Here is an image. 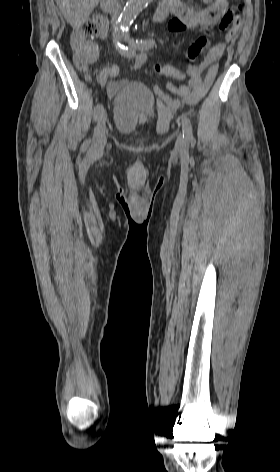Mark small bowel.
I'll use <instances>...</instances> for the list:
<instances>
[{
	"mask_svg": "<svg viewBox=\"0 0 280 472\" xmlns=\"http://www.w3.org/2000/svg\"><path fill=\"white\" fill-rule=\"evenodd\" d=\"M209 5L203 9H193L183 3L181 0H163L162 4L166 6L173 19L169 22V30L175 33L194 29H208L215 26L222 18L228 8L227 0H205ZM107 23L100 22V36H107ZM239 26L232 27L225 36V42L215 44L208 52L206 57L198 64H191L186 68L185 75L188 76V83L181 86H175L167 83V89L177 95L179 98L171 97L162 91L159 87H154V92L158 98L157 107L161 122L166 125L173 118L174 114L181 106H192L197 104L208 92L218 72L217 62L222 57L226 42L232 41L238 34ZM71 43L74 50V56L80 57L86 64L85 78L90 81L93 72L89 66L93 64L99 55L98 46L95 41L87 39L83 34L76 31L71 37ZM147 61L145 54L134 55L132 69L141 68ZM110 75L116 77L118 70L114 65H107ZM125 80L111 81L106 87V93L112 97L124 84Z\"/></svg>",
	"mask_w": 280,
	"mask_h": 472,
	"instance_id": "1",
	"label": "small bowel"
}]
</instances>
